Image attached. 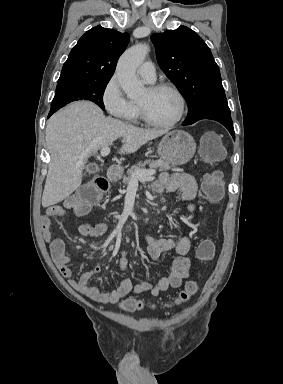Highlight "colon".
<instances>
[{
    "label": "colon",
    "instance_id": "1",
    "mask_svg": "<svg viewBox=\"0 0 283 384\" xmlns=\"http://www.w3.org/2000/svg\"><path fill=\"white\" fill-rule=\"evenodd\" d=\"M200 154L202 160L207 164L222 160L224 148L218 133L210 131L203 135L200 144ZM201 186L204 194L212 202H217L223 197L224 183L220 172L214 171L206 174L202 178ZM107 189L108 182L104 178L93 179L82 185L80 189L66 201V205L76 213H85L101 201ZM196 253L199 260L203 262L210 261L215 255V245L211 240H203L198 245ZM197 290V281H188L176 298L175 304L179 305L188 301ZM143 307L144 303L134 298L126 299L121 303V308L128 312L138 311L143 309Z\"/></svg>",
    "mask_w": 283,
    "mask_h": 384
}]
</instances>
